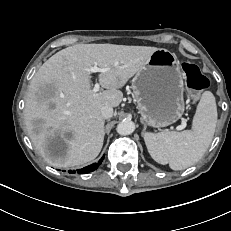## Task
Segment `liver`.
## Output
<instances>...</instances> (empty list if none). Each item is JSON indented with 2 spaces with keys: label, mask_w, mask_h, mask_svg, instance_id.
Wrapping results in <instances>:
<instances>
[{
  "label": "liver",
  "mask_w": 231,
  "mask_h": 231,
  "mask_svg": "<svg viewBox=\"0 0 231 231\" xmlns=\"http://www.w3.org/2000/svg\"><path fill=\"white\" fill-rule=\"evenodd\" d=\"M158 50L148 46L76 44L50 57L32 78L25 99L24 119L29 137L51 166L67 168L95 159L104 141L101 108L117 107L119 90ZM109 68L99 74L106 90L91 89L92 66ZM41 120L37 130L35 122ZM61 141L64 149L51 150Z\"/></svg>",
  "instance_id": "liver-1"
}]
</instances>
